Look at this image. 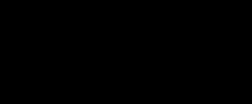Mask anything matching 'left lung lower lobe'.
<instances>
[{"label": "left lung lower lobe", "mask_w": 252, "mask_h": 104, "mask_svg": "<svg viewBox=\"0 0 252 104\" xmlns=\"http://www.w3.org/2000/svg\"><path fill=\"white\" fill-rule=\"evenodd\" d=\"M216 82L213 75L204 77L178 78L161 92L159 99L170 103H190L196 98L200 103H211L214 99Z\"/></svg>", "instance_id": "obj_1"}]
</instances>
